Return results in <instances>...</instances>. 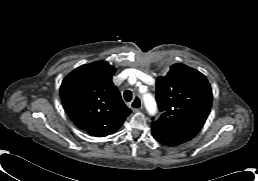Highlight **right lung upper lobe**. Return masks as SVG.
Returning <instances> with one entry per match:
<instances>
[{
  "mask_svg": "<svg viewBox=\"0 0 258 181\" xmlns=\"http://www.w3.org/2000/svg\"><path fill=\"white\" fill-rule=\"evenodd\" d=\"M115 68L105 61L82 65L61 85L63 107L71 120L94 136H104L122 125L131 110L112 83Z\"/></svg>",
  "mask_w": 258,
  "mask_h": 181,
  "instance_id": "obj_1",
  "label": "right lung upper lobe"
}]
</instances>
